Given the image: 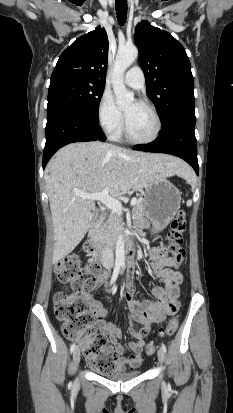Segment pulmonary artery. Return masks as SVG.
<instances>
[{
  "label": "pulmonary artery",
  "mask_w": 233,
  "mask_h": 413,
  "mask_svg": "<svg viewBox=\"0 0 233 413\" xmlns=\"http://www.w3.org/2000/svg\"><path fill=\"white\" fill-rule=\"evenodd\" d=\"M124 81L134 89H142L145 85L143 71L138 66L130 68L124 76Z\"/></svg>",
  "instance_id": "obj_1"
}]
</instances>
